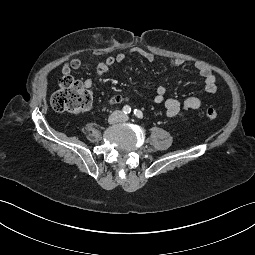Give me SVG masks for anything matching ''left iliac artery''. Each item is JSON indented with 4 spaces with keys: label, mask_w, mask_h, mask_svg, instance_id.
I'll return each mask as SVG.
<instances>
[{
    "label": "left iliac artery",
    "mask_w": 255,
    "mask_h": 255,
    "mask_svg": "<svg viewBox=\"0 0 255 255\" xmlns=\"http://www.w3.org/2000/svg\"><path fill=\"white\" fill-rule=\"evenodd\" d=\"M134 115H135L137 118H140V119L143 118V113H142L140 110L135 109V110H134Z\"/></svg>",
    "instance_id": "left-iliac-artery-1"
}]
</instances>
